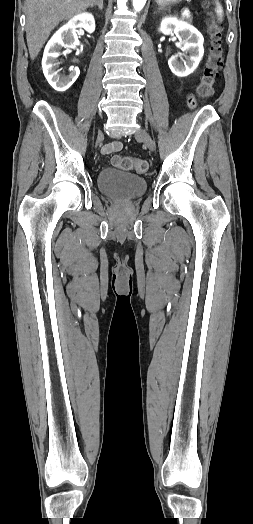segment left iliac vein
I'll use <instances>...</instances> for the list:
<instances>
[{
    "mask_svg": "<svg viewBox=\"0 0 253 524\" xmlns=\"http://www.w3.org/2000/svg\"><path fill=\"white\" fill-rule=\"evenodd\" d=\"M135 136L141 139L144 142V144L149 148V150H155V143L153 142L150 135L147 133L145 129H139L136 132Z\"/></svg>",
    "mask_w": 253,
    "mask_h": 524,
    "instance_id": "obj_1",
    "label": "left iliac vein"
}]
</instances>
